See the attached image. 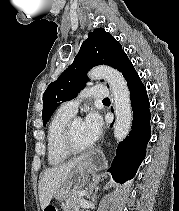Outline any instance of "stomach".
Listing matches in <instances>:
<instances>
[{
  "label": "stomach",
  "instance_id": "0dacf381",
  "mask_svg": "<svg viewBox=\"0 0 179 211\" xmlns=\"http://www.w3.org/2000/svg\"><path fill=\"white\" fill-rule=\"evenodd\" d=\"M92 168L91 159L85 160L80 166H77L70 173L64 185L56 194V198L63 200L70 193L81 190L87 182V172Z\"/></svg>",
  "mask_w": 179,
  "mask_h": 211
}]
</instances>
